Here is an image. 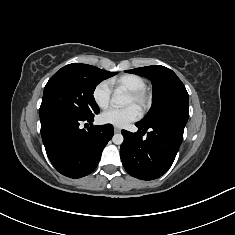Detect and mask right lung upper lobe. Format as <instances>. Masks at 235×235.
Segmentation results:
<instances>
[{
    "mask_svg": "<svg viewBox=\"0 0 235 235\" xmlns=\"http://www.w3.org/2000/svg\"><path fill=\"white\" fill-rule=\"evenodd\" d=\"M73 64H79V63H73ZM79 65H83V64H79Z\"/></svg>",
    "mask_w": 235,
    "mask_h": 235,
    "instance_id": "obj_1",
    "label": "right lung upper lobe"
}]
</instances>
